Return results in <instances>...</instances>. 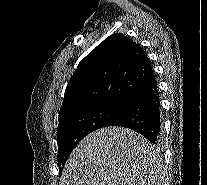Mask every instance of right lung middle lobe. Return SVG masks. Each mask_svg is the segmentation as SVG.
Masks as SVG:
<instances>
[{
	"mask_svg": "<svg viewBox=\"0 0 207 185\" xmlns=\"http://www.w3.org/2000/svg\"><path fill=\"white\" fill-rule=\"evenodd\" d=\"M120 109V106L103 104L82 110L59 121L58 165L63 166L80 140L94 130L105 127L118 115ZM59 170L61 174L62 168Z\"/></svg>",
	"mask_w": 207,
	"mask_h": 185,
	"instance_id": "right-lung-middle-lobe-1",
	"label": "right lung middle lobe"
}]
</instances>
